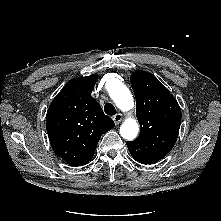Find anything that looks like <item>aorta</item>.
Returning <instances> with one entry per match:
<instances>
[{
	"label": "aorta",
	"mask_w": 221,
	"mask_h": 221,
	"mask_svg": "<svg viewBox=\"0 0 221 221\" xmlns=\"http://www.w3.org/2000/svg\"><path fill=\"white\" fill-rule=\"evenodd\" d=\"M108 91L111 99L116 106L127 112L134 107V100L130 90L118 79H113L108 86ZM139 131V125L135 119H126L121 127L120 134L124 139L133 140L136 138Z\"/></svg>",
	"instance_id": "1"
}]
</instances>
